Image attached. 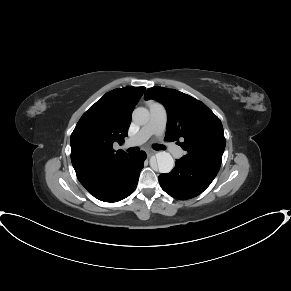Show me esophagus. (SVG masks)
Listing matches in <instances>:
<instances>
[{
  "label": "esophagus",
  "instance_id": "34e87169",
  "mask_svg": "<svg viewBox=\"0 0 291 291\" xmlns=\"http://www.w3.org/2000/svg\"><path fill=\"white\" fill-rule=\"evenodd\" d=\"M147 156H152V155H154L155 154V151H153V150H147Z\"/></svg>",
  "mask_w": 291,
  "mask_h": 291
}]
</instances>
